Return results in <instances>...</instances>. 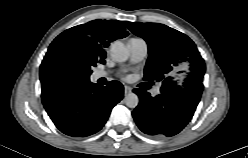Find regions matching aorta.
Wrapping results in <instances>:
<instances>
[{"label": "aorta", "mask_w": 248, "mask_h": 158, "mask_svg": "<svg viewBox=\"0 0 248 158\" xmlns=\"http://www.w3.org/2000/svg\"><path fill=\"white\" fill-rule=\"evenodd\" d=\"M110 54L117 62H125L129 58V50L121 41H116L111 45ZM124 101L129 108H135L139 103V98L135 93H129Z\"/></svg>", "instance_id": "aorta-1"}]
</instances>
